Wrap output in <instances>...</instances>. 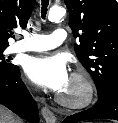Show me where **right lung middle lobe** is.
<instances>
[{
    "instance_id": "1",
    "label": "right lung middle lobe",
    "mask_w": 118,
    "mask_h": 123,
    "mask_svg": "<svg viewBox=\"0 0 118 123\" xmlns=\"http://www.w3.org/2000/svg\"><path fill=\"white\" fill-rule=\"evenodd\" d=\"M6 48H0V75H8L15 72L19 67L9 63L11 57H4V50Z\"/></svg>"
}]
</instances>
